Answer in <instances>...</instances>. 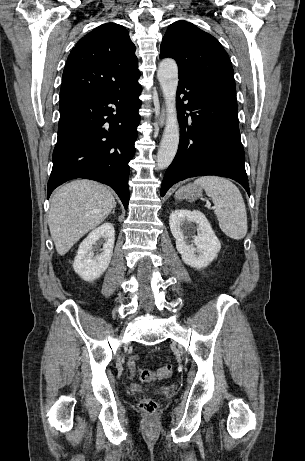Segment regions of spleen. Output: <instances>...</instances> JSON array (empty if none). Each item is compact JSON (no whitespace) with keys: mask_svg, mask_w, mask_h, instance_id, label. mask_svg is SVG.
<instances>
[{"mask_svg":"<svg viewBox=\"0 0 305 461\" xmlns=\"http://www.w3.org/2000/svg\"><path fill=\"white\" fill-rule=\"evenodd\" d=\"M193 184L204 188L211 197L220 229L232 239H243L247 233V213L237 186L218 176H202Z\"/></svg>","mask_w":305,"mask_h":461,"instance_id":"3e777b00","label":"spleen"}]
</instances>
